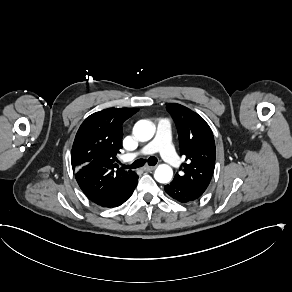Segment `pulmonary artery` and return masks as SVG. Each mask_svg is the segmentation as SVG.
I'll list each match as a JSON object with an SVG mask.
<instances>
[{
  "instance_id": "obj_1",
  "label": "pulmonary artery",
  "mask_w": 292,
  "mask_h": 292,
  "mask_svg": "<svg viewBox=\"0 0 292 292\" xmlns=\"http://www.w3.org/2000/svg\"><path fill=\"white\" fill-rule=\"evenodd\" d=\"M173 121L169 117H164L159 122V127L162 131L158 133L157 138L146 144L144 148H139L138 150H133L131 152V157L133 159H139L140 157L150 156L156 149L162 150L161 156L166 160L167 164L170 166H175L179 162V157L175 154V146L172 141V128Z\"/></svg>"
}]
</instances>
